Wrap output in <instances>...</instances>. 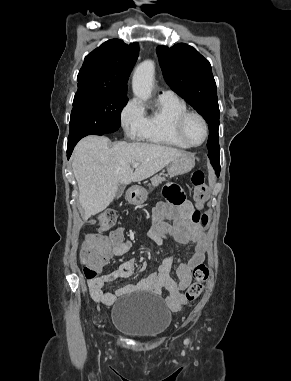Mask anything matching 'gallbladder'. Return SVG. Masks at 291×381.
<instances>
[{
    "mask_svg": "<svg viewBox=\"0 0 291 381\" xmlns=\"http://www.w3.org/2000/svg\"><path fill=\"white\" fill-rule=\"evenodd\" d=\"M124 189H125V185H123V184H119L118 185L117 192H116V197L117 198L122 196V194L124 192Z\"/></svg>",
    "mask_w": 291,
    "mask_h": 381,
    "instance_id": "gallbladder-1",
    "label": "gallbladder"
}]
</instances>
